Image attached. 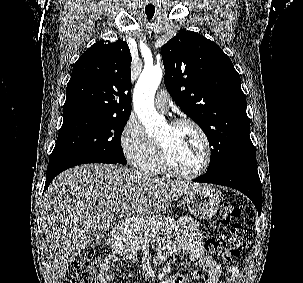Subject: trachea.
I'll list each match as a JSON object with an SVG mask.
<instances>
[{
    "mask_svg": "<svg viewBox=\"0 0 303 283\" xmlns=\"http://www.w3.org/2000/svg\"><path fill=\"white\" fill-rule=\"evenodd\" d=\"M152 18V16L151 15H148V19L150 20Z\"/></svg>",
    "mask_w": 303,
    "mask_h": 283,
    "instance_id": "1",
    "label": "trachea"
}]
</instances>
